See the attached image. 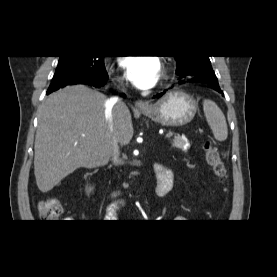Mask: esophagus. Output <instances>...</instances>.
Masks as SVG:
<instances>
[{
	"mask_svg": "<svg viewBox=\"0 0 277 277\" xmlns=\"http://www.w3.org/2000/svg\"><path fill=\"white\" fill-rule=\"evenodd\" d=\"M135 106L140 109V110H143V109H146L148 107V103L143 101V100H137L135 102Z\"/></svg>",
	"mask_w": 277,
	"mask_h": 277,
	"instance_id": "34e87169",
	"label": "esophagus"
}]
</instances>
